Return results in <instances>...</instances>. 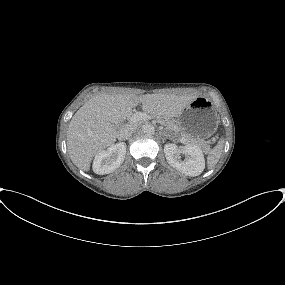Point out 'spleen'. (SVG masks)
I'll return each instance as SVG.
<instances>
[{
	"label": "spleen",
	"mask_w": 285,
	"mask_h": 285,
	"mask_svg": "<svg viewBox=\"0 0 285 285\" xmlns=\"http://www.w3.org/2000/svg\"><path fill=\"white\" fill-rule=\"evenodd\" d=\"M224 140L221 139L218 144L210 151L207 157V166L209 169L213 168L219 161L223 152Z\"/></svg>",
	"instance_id": "3e777b00"
}]
</instances>
